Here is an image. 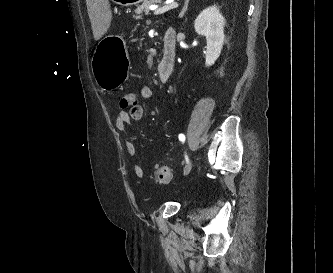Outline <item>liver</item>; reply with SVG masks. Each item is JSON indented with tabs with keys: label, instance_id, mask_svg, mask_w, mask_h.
Instances as JSON below:
<instances>
[{
	"label": "liver",
	"instance_id": "6515ba94",
	"mask_svg": "<svg viewBox=\"0 0 333 273\" xmlns=\"http://www.w3.org/2000/svg\"><path fill=\"white\" fill-rule=\"evenodd\" d=\"M86 5L94 39L99 40L107 32L111 23L109 0H86Z\"/></svg>",
	"mask_w": 333,
	"mask_h": 273
}]
</instances>
